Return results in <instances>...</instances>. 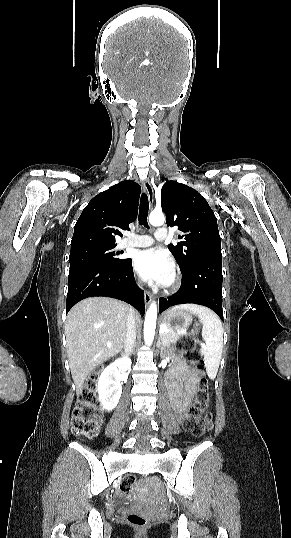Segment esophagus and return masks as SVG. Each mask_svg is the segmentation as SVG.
<instances>
[{
	"instance_id": "esophagus-1",
	"label": "esophagus",
	"mask_w": 291,
	"mask_h": 538,
	"mask_svg": "<svg viewBox=\"0 0 291 538\" xmlns=\"http://www.w3.org/2000/svg\"><path fill=\"white\" fill-rule=\"evenodd\" d=\"M143 188L148 196V199H149V203H150V206L153 205V201H154V191H153V186L150 182L149 179H145L144 182H143ZM144 298H145V303L147 305H149L153 299V295L148 292V291H145L144 293Z\"/></svg>"
}]
</instances>
